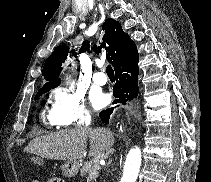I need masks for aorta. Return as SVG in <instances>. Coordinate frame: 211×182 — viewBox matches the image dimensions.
<instances>
[{"mask_svg": "<svg viewBox=\"0 0 211 182\" xmlns=\"http://www.w3.org/2000/svg\"><path fill=\"white\" fill-rule=\"evenodd\" d=\"M141 166V151L138 147L132 148L126 158L124 173L120 182H136Z\"/></svg>", "mask_w": 211, "mask_h": 182, "instance_id": "762f6f07", "label": "aorta"}]
</instances>
